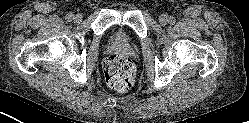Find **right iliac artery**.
<instances>
[{"mask_svg": "<svg viewBox=\"0 0 249 123\" xmlns=\"http://www.w3.org/2000/svg\"><path fill=\"white\" fill-rule=\"evenodd\" d=\"M73 18H74V16H73L72 13H69V14L66 15V20L69 21V22L72 21Z\"/></svg>", "mask_w": 249, "mask_h": 123, "instance_id": "obj_1", "label": "right iliac artery"}]
</instances>
